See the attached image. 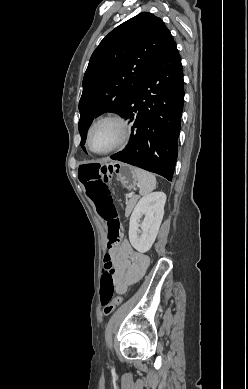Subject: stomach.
Listing matches in <instances>:
<instances>
[{"label":"stomach","mask_w":248,"mask_h":389,"mask_svg":"<svg viewBox=\"0 0 248 389\" xmlns=\"http://www.w3.org/2000/svg\"><path fill=\"white\" fill-rule=\"evenodd\" d=\"M111 170L114 171V175L127 189H133L136 186L138 181L134 175V167L127 164H112Z\"/></svg>","instance_id":"1"}]
</instances>
